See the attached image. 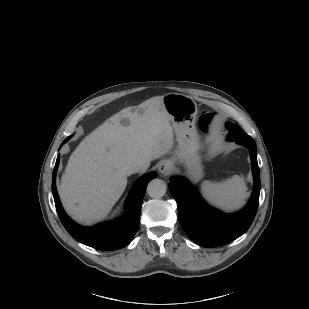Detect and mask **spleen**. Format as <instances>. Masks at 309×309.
<instances>
[{
	"instance_id": "obj_1",
	"label": "spleen",
	"mask_w": 309,
	"mask_h": 309,
	"mask_svg": "<svg viewBox=\"0 0 309 309\" xmlns=\"http://www.w3.org/2000/svg\"><path fill=\"white\" fill-rule=\"evenodd\" d=\"M247 187L243 179L234 176L222 182L205 181L201 185L203 197L211 205L231 211L240 208L247 197Z\"/></svg>"
}]
</instances>
